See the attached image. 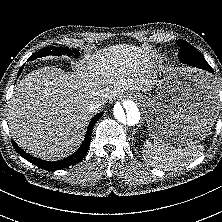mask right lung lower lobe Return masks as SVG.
<instances>
[{
  "mask_svg": "<svg viewBox=\"0 0 222 222\" xmlns=\"http://www.w3.org/2000/svg\"><path fill=\"white\" fill-rule=\"evenodd\" d=\"M30 60L31 59H28V61H30ZM22 69H23V66L19 70L18 76L21 74ZM102 115H103V112L97 114L96 116H94L91 119V121L88 125V128H87V131H86L84 141L81 144V146L79 147V149L71 156H69L63 160H60V161L51 162V161H45V160L38 159L36 157H33V156L27 154L14 141H12V144L14 146V149L18 152V154H20L27 161L33 163L34 165L39 166L42 169H46V170L63 169V168H66V167H69L71 165L78 163L87 154L89 146H90L91 131H92L95 123L102 117Z\"/></svg>",
  "mask_w": 222,
  "mask_h": 222,
  "instance_id": "98d812e1",
  "label": "right lung lower lobe"
}]
</instances>
